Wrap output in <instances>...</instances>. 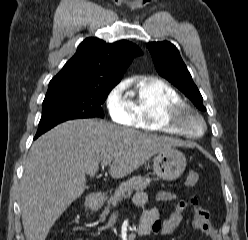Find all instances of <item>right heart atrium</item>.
Segmentation results:
<instances>
[{
	"mask_svg": "<svg viewBox=\"0 0 248 240\" xmlns=\"http://www.w3.org/2000/svg\"><path fill=\"white\" fill-rule=\"evenodd\" d=\"M126 84L120 82L110 89L105 98V106L110 118L126 126L135 125L131 100L126 92Z\"/></svg>",
	"mask_w": 248,
	"mask_h": 240,
	"instance_id": "right-heart-atrium-1",
	"label": "right heart atrium"
}]
</instances>
